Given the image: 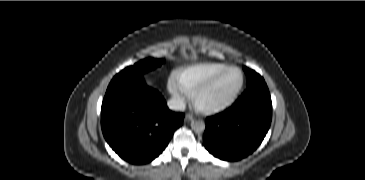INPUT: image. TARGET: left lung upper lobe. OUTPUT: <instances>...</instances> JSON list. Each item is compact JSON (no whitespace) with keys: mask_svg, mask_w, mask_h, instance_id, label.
I'll list each match as a JSON object with an SVG mask.
<instances>
[{"mask_svg":"<svg viewBox=\"0 0 365 180\" xmlns=\"http://www.w3.org/2000/svg\"><path fill=\"white\" fill-rule=\"evenodd\" d=\"M243 69L247 75V87H251L255 84L265 82L264 79L254 70H251L245 66L243 67Z\"/></svg>","mask_w":365,"mask_h":180,"instance_id":"obj_1","label":"left lung upper lobe"}]
</instances>
